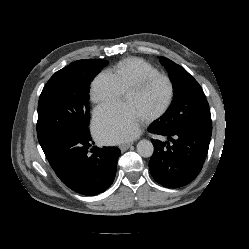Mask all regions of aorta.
Returning a JSON list of instances; mask_svg holds the SVG:
<instances>
[{"label": "aorta", "mask_w": 249, "mask_h": 249, "mask_svg": "<svg viewBox=\"0 0 249 249\" xmlns=\"http://www.w3.org/2000/svg\"><path fill=\"white\" fill-rule=\"evenodd\" d=\"M154 151V146L151 141L143 139L137 144V152L140 156L148 158L151 157Z\"/></svg>", "instance_id": "aorta-1"}]
</instances>
